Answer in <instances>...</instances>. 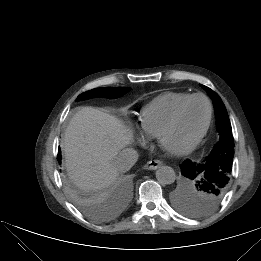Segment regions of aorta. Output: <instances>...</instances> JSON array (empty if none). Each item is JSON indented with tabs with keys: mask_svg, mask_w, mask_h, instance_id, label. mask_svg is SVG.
I'll list each match as a JSON object with an SVG mask.
<instances>
[{
	"mask_svg": "<svg viewBox=\"0 0 261 261\" xmlns=\"http://www.w3.org/2000/svg\"><path fill=\"white\" fill-rule=\"evenodd\" d=\"M156 179L159 183L168 185L174 183L176 180V174L172 167L161 166L156 171Z\"/></svg>",
	"mask_w": 261,
	"mask_h": 261,
	"instance_id": "1",
	"label": "aorta"
}]
</instances>
